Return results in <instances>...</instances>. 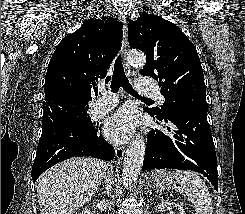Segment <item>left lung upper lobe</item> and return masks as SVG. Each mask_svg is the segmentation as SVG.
<instances>
[{"label":"left lung upper lobe","mask_w":245,"mask_h":214,"mask_svg":"<svg viewBox=\"0 0 245 214\" xmlns=\"http://www.w3.org/2000/svg\"><path fill=\"white\" fill-rule=\"evenodd\" d=\"M131 48L147 57L142 75L159 80L165 102L149 109L160 119L189 110H208L201 62L193 43L173 23L160 16L142 13L128 25Z\"/></svg>","instance_id":"5c2ea615"}]
</instances>
